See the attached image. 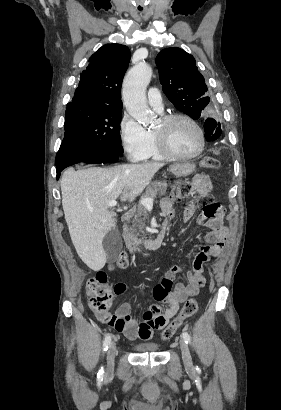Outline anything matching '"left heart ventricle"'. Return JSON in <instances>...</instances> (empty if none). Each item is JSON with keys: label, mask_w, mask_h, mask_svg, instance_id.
Masks as SVG:
<instances>
[{"label": "left heart ventricle", "mask_w": 281, "mask_h": 410, "mask_svg": "<svg viewBox=\"0 0 281 410\" xmlns=\"http://www.w3.org/2000/svg\"><path fill=\"white\" fill-rule=\"evenodd\" d=\"M154 131L162 133L170 148L177 154L190 155L200 147L197 130L185 120H176L166 127L160 121Z\"/></svg>", "instance_id": "b2bd125f"}]
</instances>
